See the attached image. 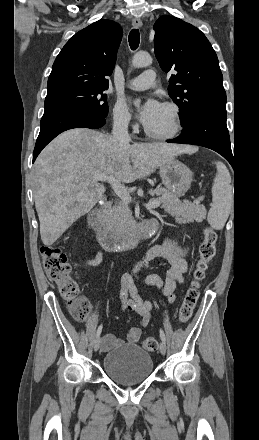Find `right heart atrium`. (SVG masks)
<instances>
[{
    "label": "right heart atrium",
    "mask_w": 259,
    "mask_h": 440,
    "mask_svg": "<svg viewBox=\"0 0 259 440\" xmlns=\"http://www.w3.org/2000/svg\"><path fill=\"white\" fill-rule=\"evenodd\" d=\"M112 121L116 128L122 130L129 129L133 124L132 115L126 104L121 100H118L113 106Z\"/></svg>",
    "instance_id": "obj_1"
}]
</instances>
